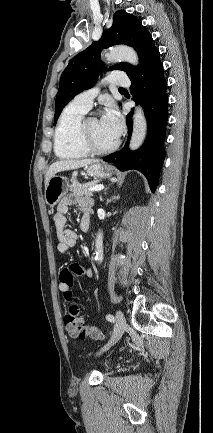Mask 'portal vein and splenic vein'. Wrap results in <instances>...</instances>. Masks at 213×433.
<instances>
[{
	"label": "portal vein and splenic vein",
	"instance_id": "1",
	"mask_svg": "<svg viewBox=\"0 0 213 433\" xmlns=\"http://www.w3.org/2000/svg\"><path fill=\"white\" fill-rule=\"evenodd\" d=\"M103 188H104L103 185H96V186L89 188V191H101V190H103Z\"/></svg>",
	"mask_w": 213,
	"mask_h": 433
}]
</instances>
